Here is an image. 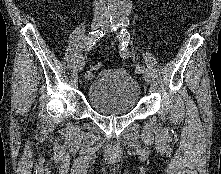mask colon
<instances>
[{
  "instance_id": "1",
  "label": "colon",
  "mask_w": 221,
  "mask_h": 174,
  "mask_svg": "<svg viewBox=\"0 0 221 174\" xmlns=\"http://www.w3.org/2000/svg\"><path fill=\"white\" fill-rule=\"evenodd\" d=\"M102 67V64L100 62L95 63L94 65H92L91 70L93 71H97Z\"/></svg>"
}]
</instances>
